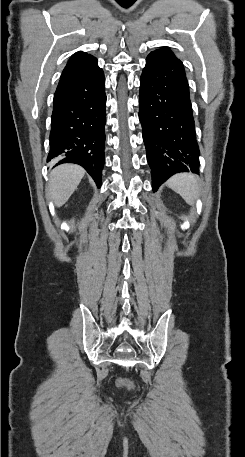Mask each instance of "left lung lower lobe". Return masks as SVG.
Instances as JSON below:
<instances>
[{"label": "left lung lower lobe", "mask_w": 245, "mask_h": 457, "mask_svg": "<svg viewBox=\"0 0 245 457\" xmlns=\"http://www.w3.org/2000/svg\"><path fill=\"white\" fill-rule=\"evenodd\" d=\"M139 119L152 187L178 172L199 173V147L183 63L167 47L151 52L140 78Z\"/></svg>", "instance_id": "obj_1"}]
</instances>
